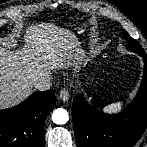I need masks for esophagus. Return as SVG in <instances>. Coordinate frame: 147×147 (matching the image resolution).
<instances>
[{"label": "esophagus", "mask_w": 147, "mask_h": 147, "mask_svg": "<svg viewBox=\"0 0 147 147\" xmlns=\"http://www.w3.org/2000/svg\"><path fill=\"white\" fill-rule=\"evenodd\" d=\"M69 91L66 88H63L60 90L59 92V98L60 100H62L63 102H67L69 100Z\"/></svg>", "instance_id": "obj_1"}]
</instances>
